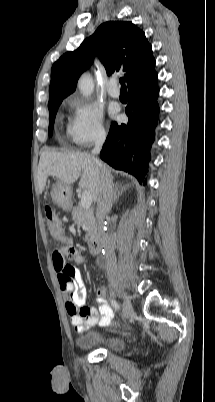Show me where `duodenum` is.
Returning <instances> with one entry per match:
<instances>
[{
  "label": "duodenum",
  "instance_id": "410a0bca",
  "mask_svg": "<svg viewBox=\"0 0 215 402\" xmlns=\"http://www.w3.org/2000/svg\"><path fill=\"white\" fill-rule=\"evenodd\" d=\"M89 251L92 254H98L102 251L103 248V243L102 240L100 238H94L89 242L88 245Z\"/></svg>",
  "mask_w": 215,
  "mask_h": 402
}]
</instances>
